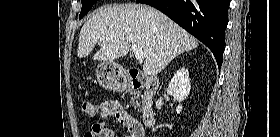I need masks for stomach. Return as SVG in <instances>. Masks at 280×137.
Here are the masks:
<instances>
[{"instance_id":"stomach-1","label":"stomach","mask_w":280,"mask_h":137,"mask_svg":"<svg viewBox=\"0 0 280 137\" xmlns=\"http://www.w3.org/2000/svg\"><path fill=\"white\" fill-rule=\"evenodd\" d=\"M96 77L99 83L109 90H121L122 73L113 62H102L97 66Z\"/></svg>"}]
</instances>
